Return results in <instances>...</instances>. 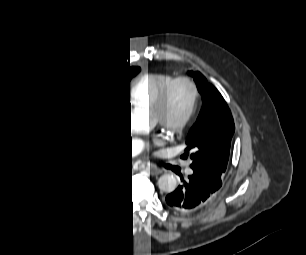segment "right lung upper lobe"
<instances>
[{"label":"right lung upper lobe","mask_w":306,"mask_h":255,"mask_svg":"<svg viewBox=\"0 0 306 255\" xmlns=\"http://www.w3.org/2000/svg\"><path fill=\"white\" fill-rule=\"evenodd\" d=\"M139 70V67L116 68L109 72L95 74L76 84L65 93L56 118L55 132L59 165L62 157L60 138L68 115L74 111H95L104 112L114 117L117 96L126 82L124 75L131 71L136 73ZM109 165L106 157H104L99 167L107 168ZM60 168L64 174H67V171L62 167Z\"/></svg>","instance_id":"right-lung-upper-lobe-1"}]
</instances>
